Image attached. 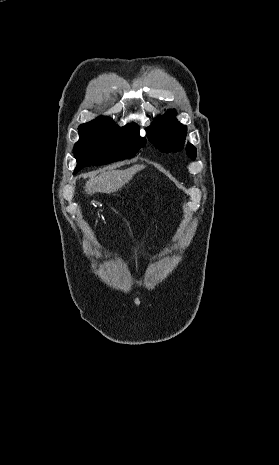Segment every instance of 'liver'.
Returning a JSON list of instances; mask_svg holds the SVG:
<instances>
[{
    "label": "liver",
    "mask_w": 279,
    "mask_h": 465,
    "mask_svg": "<svg viewBox=\"0 0 279 465\" xmlns=\"http://www.w3.org/2000/svg\"><path fill=\"white\" fill-rule=\"evenodd\" d=\"M143 165H134L126 170H113L101 171L98 175L94 172L92 177L85 184V192L88 195L94 193H114L140 169Z\"/></svg>",
    "instance_id": "1"
}]
</instances>
